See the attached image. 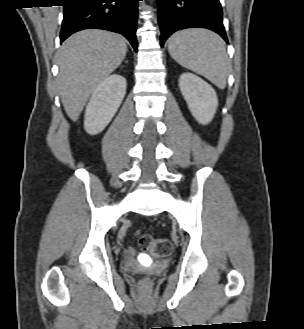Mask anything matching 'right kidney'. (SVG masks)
<instances>
[{"mask_svg":"<svg viewBox=\"0 0 304 329\" xmlns=\"http://www.w3.org/2000/svg\"><path fill=\"white\" fill-rule=\"evenodd\" d=\"M126 93V79L113 74L100 83L86 107L84 128L88 134L100 133L117 112Z\"/></svg>","mask_w":304,"mask_h":329,"instance_id":"ca27d5eb","label":"right kidney"}]
</instances>
